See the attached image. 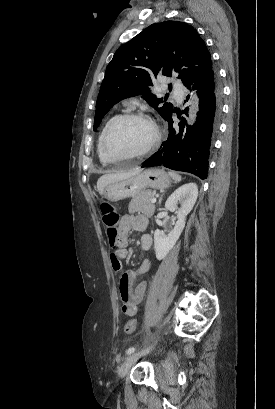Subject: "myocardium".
Returning a JSON list of instances; mask_svg holds the SVG:
<instances>
[{"label":"myocardium","instance_id":"f54148a6","mask_svg":"<svg viewBox=\"0 0 275 409\" xmlns=\"http://www.w3.org/2000/svg\"><path fill=\"white\" fill-rule=\"evenodd\" d=\"M125 120H138L141 121L143 123H145L149 129H150V136L147 140V142L145 143L144 146H142L140 149L133 151L131 153H128L126 155H123L121 157H138V156H142L147 154L148 152H150L152 150V148L157 144L159 138H160V131L159 128L157 127V125L154 123L153 120H151L148 116L141 114V113H126V114H122L119 115L118 117H116L111 124L109 125L103 141H102V145H101V155L102 157H108L105 153V146L106 143L112 133V131L114 130V128L122 121Z\"/></svg>","mask_w":275,"mask_h":409}]
</instances>
